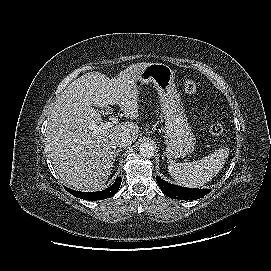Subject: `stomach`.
<instances>
[{
  "instance_id": "stomach-1",
  "label": "stomach",
  "mask_w": 271,
  "mask_h": 271,
  "mask_svg": "<svg viewBox=\"0 0 271 271\" xmlns=\"http://www.w3.org/2000/svg\"><path fill=\"white\" fill-rule=\"evenodd\" d=\"M174 80V71L162 63H149L138 77L141 84L152 82L158 92L165 120V154L169 159L186 157L196 145Z\"/></svg>"
}]
</instances>
